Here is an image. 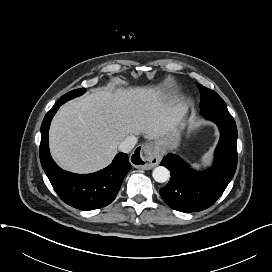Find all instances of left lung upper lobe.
Here are the masks:
<instances>
[{"label": "left lung upper lobe", "instance_id": "obj_1", "mask_svg": "<svg viewBox=\"0 0 272 272\" xmlns=\"http://www.w3.org/2000/svg\"><path fill=\"white\" fill-rule=\"evenodd\" d=\"M197 86L201 93L200 107L202 110L211 108V107L226 106L224 100L216 92L198 83H197Z\"/></svg>", "mask_w": 272, "mask_h": 272}]
</instances>
